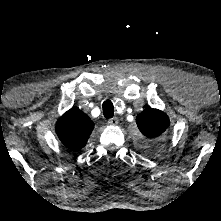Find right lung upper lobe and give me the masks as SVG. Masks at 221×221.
Listing matches in <instances>:
<instances>
[{
    "label": "right lung upper lobe",
    "mask_w": 221,
    "mask_h": 221,
    "mask_svg": "<svg viewBox=\"0 0 221 221\" xmlns=\"http://www.w3.org/2000/svg\"><path fill=\"white\" fill-rule=\"evenodd\" d=\"M94 128L92 120L78 107H73L56 123V133L60 141L71 150L83 148Z\"/></svg>",
    "instance_id": "right-lung-upper-lobe-1"
}]
</instances>
